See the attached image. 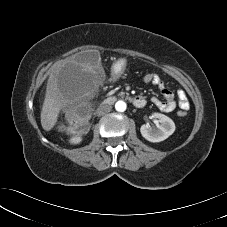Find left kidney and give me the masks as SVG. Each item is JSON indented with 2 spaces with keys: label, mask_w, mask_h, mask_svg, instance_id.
<instances>
[{
  "label": "left kidney",
  "mask_w": 227,
  "mask_h": 227,
  "mask_svg": "<svg viewBox=\"0 0 227 227\" xmlns=\"http://www.w3.org/2000/svg\"><path fill=\"white\" fill-rule=\"evenodd\" d=\"M152 117L160 121V125L152 128L148 124H144L140 128L141 135L150 142H161L167 139L175 131V124L171 118L164 114L154 113Z\"/></svg>",
  "instance_id": "1"
}]
</instances>
